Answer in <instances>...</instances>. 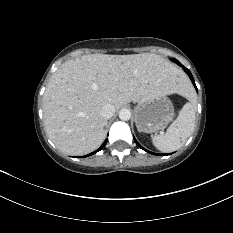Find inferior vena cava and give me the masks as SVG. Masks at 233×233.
I'll use <instances>...</instances> for the list:
<instances>
[{
  "mask_svg": "<svg viewBox=\"0 0 233 233\" xmlns=\"http://www.w3.org/2000/svg\"><path fill=\"white\" fill-rule=\"evenodd\" d=\"M115 113V106L112 104H106L101 108L100 114L105 119H110Z\"/></svg>",
  "mask_w": 233,
  "mask_h": 233,
  "instance_id": "inferior-vena-cava-1",
  "label": "inferior vena cava"
}]
</instances>
